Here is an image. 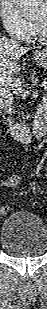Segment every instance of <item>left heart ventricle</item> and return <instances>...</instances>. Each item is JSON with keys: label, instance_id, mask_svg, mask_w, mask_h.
<instances>
[{"label": "left heart ventricle", "instance_id": "obj_1", "mask_svg": "<svg viewBox=\"0 0 47 309\" xmlns=\"http://www.w3.org/2000/svg\"><path fill=\"white\" fill-rule=\"evenodd\" d=\"M46 11H42L40 14L34 16L32 19L34 23L39 25L42 29L46 27Z\"/></svg>", "mask_w": 47, "mask_h": 309}]
</instances>
